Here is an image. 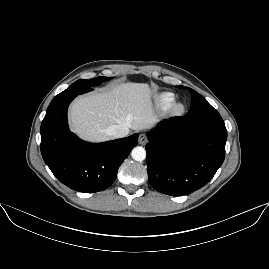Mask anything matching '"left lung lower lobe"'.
I'll list each match as a JSON object with an SVG mask.
<instances>
[{
  "instance_id": "obj_1",
  "label": "left lung lower lobe",
  "mask_w": 269,
  "mask_h": 269,
  "mask_svg": "<svg viewBox=\"0 0 269 269\" xmlns=\"http://www.w3.org/2000/svg\"><path fill=\"white\" fill-rule=\"evenodd\" d=\"M227 130L220 115L162 121L148 133L147 172L157 191L188 195L206 185L222 165Z\"/></svg>"
}]
</instances>
